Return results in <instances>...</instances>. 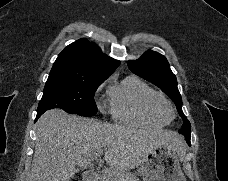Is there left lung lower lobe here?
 Here are the masks:
<instances>
[{
  "instance_id": "0a47b994",
  "label": "left lung lower lobe",
  "mask_w": 228,
  "mask_h": 181,
  "mask_svg": "<svg viewBox=\"0 0 228 181\" xmlns=\"http://www.w3.org/2000/svg\"><path fill=\"white\" fill-rule=\"evenodd\" d=\"M185 137H186L187 143H188L189 145H191V144H190V135H187V136H185Z\"/></svg>"
}]
</instances>
